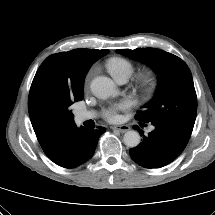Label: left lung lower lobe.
<instances>
[{"instance_id": "1", "label": "left lung lower lobe", "mask_w": 215, "mask_h": 215, "mask_svg": "<svg viewBox=\"0 0 215 215\" xmlns=\"http://www.w3.org/2000/svg\"><path fill=\"white\" fill-rule=\"evenodd\" d=\"M154 131L148 136L143 135L142 142L129 153L131 158L140 166L152 169L160 168L176 159L186 147L189 139L175 130L161 124L152 123ZM139 133L142 130L134 126Z\"/></svg>"}]
</instances>
